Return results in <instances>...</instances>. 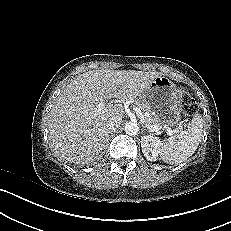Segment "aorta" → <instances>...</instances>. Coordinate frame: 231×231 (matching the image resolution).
Returning <instances> with one entry per match:
<instances>
[{"instance_id": "762f6f07", "label": "aorta", "mask_w": 231, "mask_h": 231, "mask_svg": "<svg viewBox=\"0 0 231 231\" xmlns=\"http://www.w3.org/2000/svg\"><path fill=\"white\" fill-rule=\"evenodd\" d=\"M124 130L127 135L133 136L139 132V126L136 122L130 121L125 124Z\"/></svg>"}]
</instances>
